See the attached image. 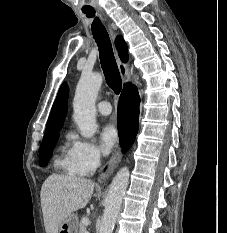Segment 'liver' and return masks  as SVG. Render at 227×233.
I'll return each instance as SVG.
<instances>
[{
    "instance_id": "obj_1",
    "label": "liver",
    "mask_w": 227,
    "mask_h": 233,
    "mask_svg": "<svg viewBox=\"0 0 227 233\" xmlns=\"http://www.w3.org/2000/svg\"><path fill=\"white\" fill-rule=\"evenodd\" d=\"M95 183L86 178L51 174L44 181L41 207L46 233H58L62 222L89 202Z\"/></svg>"
}]
</instances>
